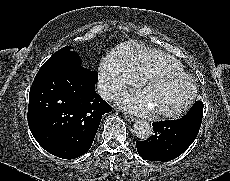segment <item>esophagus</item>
<instances>
[{
    "instance_id": "esophagus-1",
    "label": "esophagus",
    "mask_w": 230,
    "mask_h": 181,
    "mask_svg": "<svg viewBox=\"0 0 230 181\" xmlns=\"http://www.w3.org/2000/svg\"><path fill=\"white\" fill-rule=\"evenodd\" d=\"M124 117L129 122H133L135 120V118L132 115L128 114V113H124Z\"/></svg>"
}]
</instances>
